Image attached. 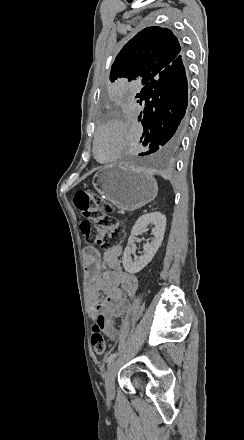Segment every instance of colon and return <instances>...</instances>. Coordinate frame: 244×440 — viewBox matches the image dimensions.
<instances>
[{
    "mask_svg": "<svg viewBox=\"0 0 244 440\" xmlns=\"http://www.w3.org/2000/svg\"><path fill=\"white\" fill-rule=\"evenodd\" d=\"M74 204L80 214L86 219L80 223V231L88 243H95L102 249H109L115 245L117 239L124 238L126 223L117 221L112 209L93 197L88 189L79 190L74 196ZM91 310L95 316L92 326L91 343L97 356L106 352V338L103 334L105 326L104 304L101 298L96 299Z\"/></svg>",
    "mask_w": 244,
    "mask_h": 440,
    "instance_id": "obj_1",
    "label": "colon"
}]
</instances>
